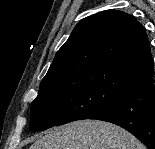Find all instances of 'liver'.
<instances>
[{"instance_id": "6515ba94", "label": "liver", "mask_w": 155, "mask_h": 149, "mask_svg": "<svg viewBox=\"0 0 155 149\" xmlns=\"http://www.w3.org/2000/svg\"><path fill=\"white\" fill-rule=\"evenodd\" d=\"M30 149H145V146L117 125L81 120L47 132Z\"/></svg>"}]
</instances>
